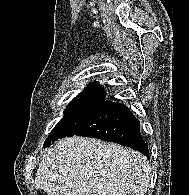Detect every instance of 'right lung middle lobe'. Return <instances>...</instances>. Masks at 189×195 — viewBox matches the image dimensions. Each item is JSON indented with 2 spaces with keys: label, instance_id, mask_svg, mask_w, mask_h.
I'll list each match as a JSON object with an SVG mask.
<instances>
[{
  "label": "right lung middle lobe",
  "instance_id": "obj_1",
  "mask_svg": "<svg viewBox=\"0 0 189 195\" xmlns=\"http://www.w3.org/2000/svg\"><path fill=\"white\" fill-rule=\"evenodd\" d=\"M106 94L80 93L64 111L63 118L50 132L44 147L79 130L105 101Z\"/></svg>",
  "mask_w": 189,
  "mask_h": 195
}]
</instances>
